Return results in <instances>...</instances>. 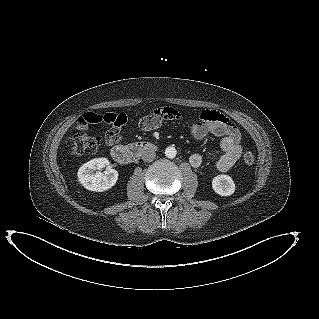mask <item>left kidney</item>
<instances>
[{"instance_id":"5707ae66","label":"left kidney","mask_w":319,"mask_h":319,"mask_svg":"<svg viewBox=\"0 0 319 319\" xmlns=\"http://www.w3.org/2000/svg\"><path fill=\"white\" fill-rule=\"evenodd\" d=\"M213 190L221 196H230L235 192L233 179L225 174L218 175L212 180Z\"/></svg>"}]
</instances>
